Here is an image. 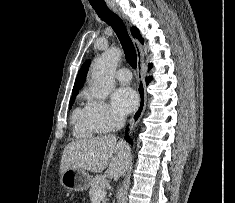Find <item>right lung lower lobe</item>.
<instances>
[{"label": "right lung lower lobe", "instance_id": "1", "mask_svg": "<svg viewBox=\"0 0 235 203\" xmlns=\"http://www.w3.org/2000/svg\"><path fill=\"white\" fill-rule=\"evenodd\" d=\"M151 67H152V64H149V69H150ZM150 79H151L150 77H147V78H146L147 84L150 82ZM125 140L129 142V138L127 137V134L125 135Z\"/></svg>", "mask_w": 235, "mask_h": 203}]
</instances>
